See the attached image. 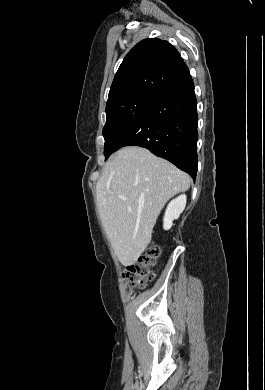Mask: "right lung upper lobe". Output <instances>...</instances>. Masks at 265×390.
<instances>
[{
  "mask_svg": "<svg viewBox=\"0 0 265 390\" xmlns=\"http://www.w3.org/2000/svg\"><path fill=\"white\" fill-rule=\"evenodd\" d=\"M187 74L188 67L174 46L158 38L144 39L121 63L106 106L134 95L157 97Z\"/></svg>",
  "mask_w": 265,
  "mask_h": 390,
  "instance_id": "right-lung-upper-lobe-1",
  "label": "right lung upper lobe"
}]
</instances>
